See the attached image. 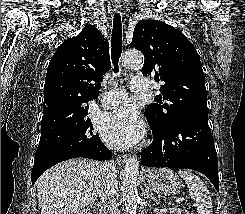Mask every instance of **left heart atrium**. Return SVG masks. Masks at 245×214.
I'll list each match as a JSON object with an SVG mask.
<instances>
[{
	"mask_svg": "<svg viewBox=\"0 0 245 214\" xmlns=\"http://www.w3.org/2000/svg\"><path fill=\"white\" fill-rule=\"evenodd\" d=\"M99 131L109 146L126 149L142 138L144 125L132 107L123 106L102 117Z\"/></svg>",
	"mask_w": 245,
	"mask_h": 214,
	"instance_id": "39dd6f15",
	"label": "left heart atrium"
}]
</instances>
